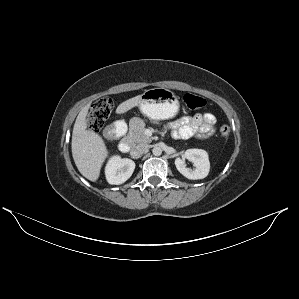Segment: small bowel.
Instances as JSON below:
<instances>
[{"label": "small bowel", "mask_w": 299, "mask_h": 299, "mask_svg": "<svg viewBox=\"0 0 299 299\" xmlns=\"http://www.w3.org/2000/svg\"><path fill=\"white\" fill-rule=\"evenodd\" d=\"M168 127L175 138H207L216 131V117L211 113L185 115L169 123Z\"/></svg>", "instance_id": "c3829d8e"}]
</instances>
